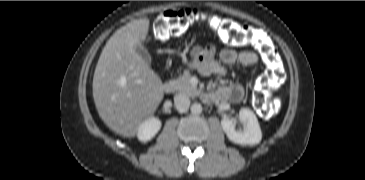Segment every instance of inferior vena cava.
<instances>
[{
    "mask_svg": "<svg viewBox=\"0 0 365 180\" xmlns=\"http://www.w3.org/2000/svg\"><path fill=\"white\" fill-rule=\"evenodd\" d=\"M174 104L179 112H185L190 106V99L185 94H178L174 97Z\"/></svg>",
    "mask_w": 365,
    "mask_h": 180,
    "instance_id": "602c4592",
    "label": "inferior vena cava"
}]
</instances>
